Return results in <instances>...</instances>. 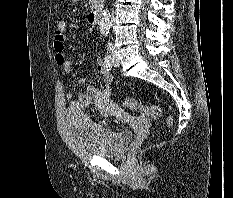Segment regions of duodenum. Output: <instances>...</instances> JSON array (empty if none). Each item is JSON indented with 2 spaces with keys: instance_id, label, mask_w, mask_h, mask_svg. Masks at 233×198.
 <instances>
[{
  "instance_id": "obj_1",
  "label": "duodenum",
  "mask_w": 233,
  "mask_h": 198,
  "mask_svg": "<svg viewBox=\"0 0 233 198\" xmlns=\"http://www.w3.org/2000/svg\"><path fill=\"white\" fill-rule=\"evenodd\" d=\"M100 18H101V10L94 9L88 14L87 21L90 25H96L99 22Z\"/></svg>"
}]
</instances>
